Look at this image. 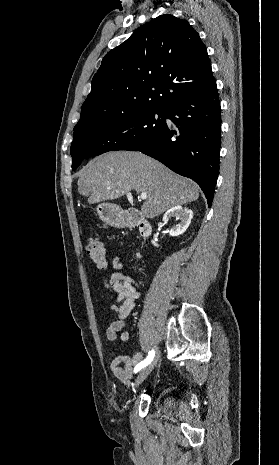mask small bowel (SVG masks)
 <instances>
[{"mask_svg":"<svg viewBox=\"0 0 279 465\" xmlns=\"http://www.w3.org/2000/svg\"><path fill=\"white\" fill-rule=\"evenodd\" d=\"M112 266L117 271L109 277H104L103 284L114 296L110 309L117 314L118 319L107 328L106 337L111 343H114L120 333V340L127 343L130 337L128 332L122 331L125 326L124 320L131 313L140 297L139 285L132 278L119 271L123 267V263L118 256L113 258ZM117 301H120L119 305L116 304ZM143 358L142 353H136L132 357L114 354L110 369L117 379L128 385L134 377L135 367L142 362Z\"/></svg>","mask_w":279,"mask_h":465,"instance_id":"small-bowel-1","label":"small bowel"}]
</instances>
